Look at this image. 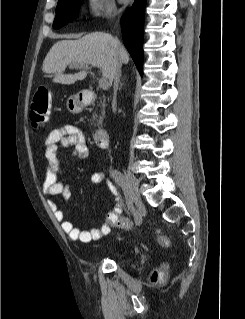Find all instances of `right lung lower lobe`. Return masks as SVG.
<instances>
[{
  "label": "right lung lower lobe",
  "instance_id": "1",
  "mask_svg": "<svg viewBox=\"0 0 245 319\" xmlns=\"http://www.w3.org/2000/svg\"><path fill=\"white\" fill-rule=\"evenodd\" d=\"M146 0H135L121 18L123 42L140 75L143 74V36Z\"/></svg>",
  "mask_w": 245,
  "mask_h": 319
}]
</instances>
